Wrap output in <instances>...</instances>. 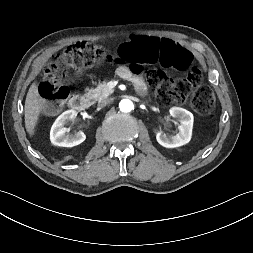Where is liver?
Listing matches in <instances>:
<instances>
[{"mask_svg": "<svg viewBox=\"0 0 253 253\" xmlns=\"http://www.w3.org/2000/svg\"><path fill=\"white\" fill-rule=\"evenodd\" d=\"M42 98L38 92L37 85L33 83L27 93L25 100V128L30 136L35 132V127L42 110Z\"/></svg>", "mask_w": 253, "mask_h": 253, "instance_id": "1", "label": "liver"}]
</instances>
